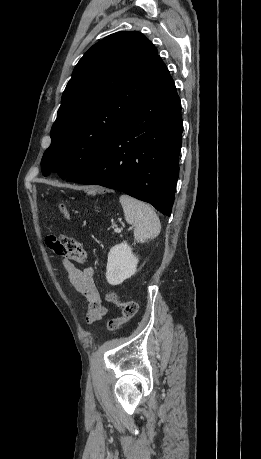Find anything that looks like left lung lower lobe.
Returning a JSON list of instances; mask_svg holds the SVG:
<instances>
[{"label":"left lung lower lobe","instance_id":"0a47b994","mask_svg":"<svg viewBox=\"0 0 261 459\" xmlns=\"http://www.w3.org/2000/svg\"><path fill=\"white\" fill-rule=\"evenodd\" d=\"M182 131L180 98L168 75L96 161L67 181L122 191L170 216Z\"/></svg>","mask_w":261,"mask_h":459}]
</instances>
